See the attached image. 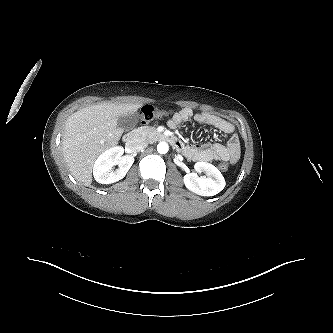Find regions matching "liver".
I'll use <instances>...</instances> for the list:
<instances>
[{
	"label": "liver",
	"instance_id": "1",
	"mask_svg": "<svg viewBox=\"0 0 333 333\" xmlns=\"http://www.w3.org/2000/svg\"><path fill=\"white\" fill-rule=\"evenodd\" d=\"M142 104L99 103L70 115L62 134L64 160L76 180L91 184L92 170L98 156L117 145L123 130L119 116L132 114Z\"/></svg>",
	"mask_w": 333,
	"mask_h": 333
}]
</instances>
